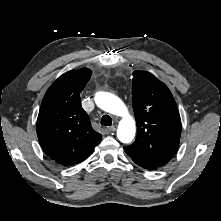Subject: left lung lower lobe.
<instances>
[{"instance_id": "1", "label": "left lung lower lobe", "mask_w": 221, "mask_h": 221, "mask_svg": "<svg viewBox=\"0 0 221 221\" xmlns=\"http://www.w3.org/2000/svg\"><path fill=\"white\" fill-rule=\"evenodd\" d=\"M133 161H134L137 165H139V166H141V167H143V168H145V169L154 170V169H157V168H158V167L155 166V165H152V164H149V163H145V162H142V161H138V160H134V159H133Z\"/></svg>"}]
</instances>
